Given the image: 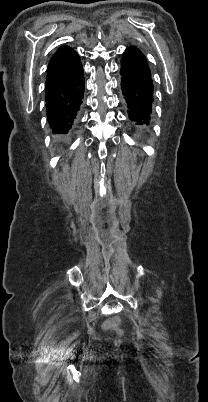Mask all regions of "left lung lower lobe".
<instances>
[{
    "label": "left lung lower lobe",
    "instance_id": "1",
    "mask_svg": "<svg viewBox=\"0 0 208 402\" xmlns=\"http://www.w3.org/2000/svg\"><path fill=\"white\" fill-rule=\"evenodd\" d=\"M121 89L131 122L149 125L153 119L154 85L148 62L140 49L130 46L121 59Z\"/></svg>",
    "mask_w": 208,
    "mask_h": 402
}]
</instances>
